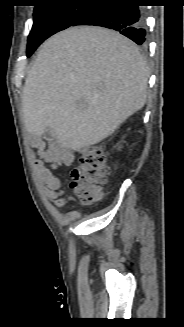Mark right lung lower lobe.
<instances>
[{
    "label": "right lung lower lobe",
    "instance_id": "98d812e1",
    "mask_svg": "<svg viewBox=\"0 0 184 327\" xmlns=\"http://www.w3.org/2000/svg\"><path fill=\"white\" fill-rule=\"evenodd\" d=\"M132 0H94L72 26L94 25L119 31L138 45L146 40L143 9L130 5Z\"/></svg>",
    "mask_w": 184,
    "mask_h": 327
}]
</instances>
